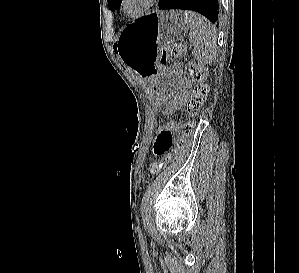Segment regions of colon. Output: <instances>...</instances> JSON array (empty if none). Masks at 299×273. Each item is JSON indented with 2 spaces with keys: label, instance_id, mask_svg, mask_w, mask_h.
Here are the masks:
<instances>
[{
  "label": "colon",
  "instance_id": "1",
  "mask_svg": "<svg viewBox=\"0 0 299 273\" xmlns=\"http://www.w3.org/2000/svg\"><path fill=\"white\" fill-rule=\"evenodd\" d=\"M162 52L161 63L166 64L171 58L180 56L183 52V47L178 43L168 44L162 47ZM189 70L192 79L196 82L192 90L180 66L177 64L173 66V71L177 79V88L164 109V115L167 119L175 115L184 104L187 106L188 113L191 116H195L206 100L208 87L204 83L206 75L204 68L199 64H191ZM194 126L195 124L192 121L184 123L181 136L176 139L172 151L160 161L151 165L150 172L152 174H159L170 163L177 159L181 151L185 148L188 139L191 137Z\"/></svg>",
  "mask_w": 299,
  "mask_h": 273
}]
</instances>
